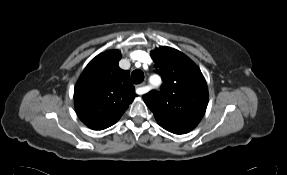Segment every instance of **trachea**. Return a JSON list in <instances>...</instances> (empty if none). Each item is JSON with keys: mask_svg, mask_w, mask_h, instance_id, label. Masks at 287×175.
<instances>
[{"mask_svg": "<svg viewBox=\"0 0 287 175\" xmlns=\"http://www.w3.org/2000/svg\"><path fill=\"white\" fill-rule=\"evenodd\" d=\"M131 79L134 84H140L144 80V73L141 70H134Z\"/></svg>", "mask_w": 287, "mask_h": 175, "instance_id": "3493384b", "label": "trachea"}]
</instances>
